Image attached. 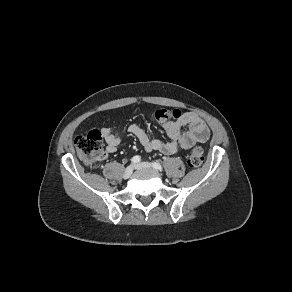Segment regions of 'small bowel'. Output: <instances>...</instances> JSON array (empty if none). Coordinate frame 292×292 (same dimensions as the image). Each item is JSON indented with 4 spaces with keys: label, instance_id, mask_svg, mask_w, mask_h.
Wrapping results in <instances>:
<instances>
[{
    "label": "small bowel",
    "instance_id": "1",
    "mask_svg": "<svg viewBox=\"0 0 292 292\" xmlns=\"http://www.w3.org/2000/svg\"><path fill=\"white\" fill-rule=\"evenodd\" d=\"M157 121L165 130L169 141L164 142L157 138H151L136 123H132L128 127V131L137 138L147 152L159 151L166 155L176 154L191 148L197 142L207 141L210 136L205 121L192 111L181 112L178 110L176 117L157 119ZM101 133L107 144L106 153H115L121 142L120 134L107 127L102 128Z\"/></svg>",
    "mask_w": 292,
    "mask_h": 292
}]
</instances>
